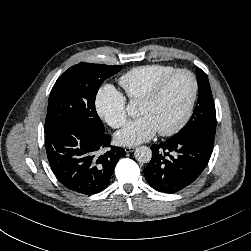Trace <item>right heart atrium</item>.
<instances>
[{"mask_svg": "<svg viewBox=\"0 0 251 251\" xmlns=\"http://www.w3.org/2000/svg\"><path fill=\"white\" fill-rule=\"evenodd\" d=\"M126 100L121 92L110 85H105L95 97V108L98 115L113 128H119L126 121Z\"/></svg>", "mask_w": 251, "mask_h": 251, "instance_id": "1", "label": "right heart atrium"}]
</instances>
